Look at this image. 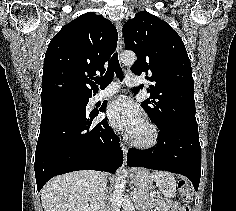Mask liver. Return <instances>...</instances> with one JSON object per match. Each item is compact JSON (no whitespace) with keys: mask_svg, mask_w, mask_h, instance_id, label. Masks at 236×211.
<instances>
[{"mask_svg":"<svg viewBox=\"0 0 236 211\" xmlns=\"http://www.w3.org/2000/svg\"><path fill=\"white\" fill-rule=\"evenodd\" d=\"M98 173L82 170L49 180L41 191L44 211H87Z\"/></svg>","mask_w":236,"mask_h":211,"instance_id":"6515ba94","label":"liver"}]
</instances>
